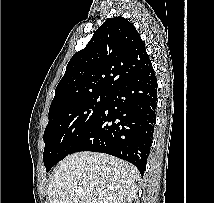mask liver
I'll return each mask as SVG.
<instances>
[{
    "mask_svg": "<svg viewBox=\"0 0 214 203\" xmlns=\"http://www.w3.org/2000/svg\"><path fill=\"white\" fill-rule=\"evenodd\" d=\"M139 178L135 166L114 156L74 153L54 170L47 190L49 203H132ZM79 188L84 196L76 194Z\"/></svg>",
    "mask_w": 214,
    "mask_h": 203,
    "instance_id": "obj_1",
    "label": "liver"
}]
</instances>
